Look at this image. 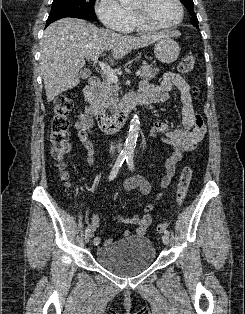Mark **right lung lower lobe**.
<instances>
[{"label":"right lung lower lobe","mask_w":245,"mask_h":314,"mask_svg":"<svg viewBox=\"0 0 245 314\" xmlns=\"http://www.w3.org/2000/svg\"><path fill=\"white\" fill-rule=\"evenodd\" d=\"M65 17H72V18H81V19H95V18H91L88 16H84V15H77V14H65V15H59V16H53V17H48L47 22H46V26H48L50 23L59 20L61 18H65Z\"/></svg>","instance_id":"1"}]
</instances>
